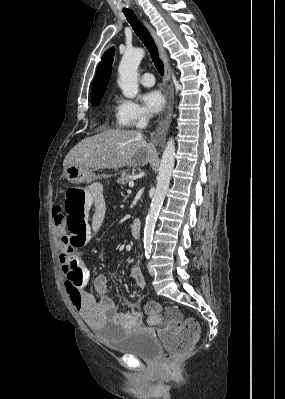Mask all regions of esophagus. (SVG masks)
<instances>
[{"label": "esophagus", "instance_id": "obj_1", "mask_svg": "<svg viewBox=\"0 0 285 399\" xmlns=\"http://www.w3.org/2000/svg\"><path fill=\"white\" fill-rule=\"evenodd\" d=\"M144 24L146 25V27L148 28V30L150 31L153 39L155 40V43L158 47V51H159V55L160 58L163 62L164 65V70H165V81L167 83L170 82L171 80V74H170V68H169V63L167 60V55H166V51L163 47L162 41L160 39V37L157 35L156 31L153 29V27L145 20H143ZM171 116H172V107H171V103H169L168 105V114L166 117V127L168 128L171 122Z\"/></svg>", "mask_w": 285, "mask_h": 399}]
</instances>
